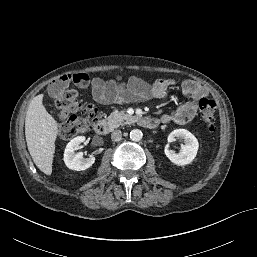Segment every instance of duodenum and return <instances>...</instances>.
<instances>
[{"label": "duodenum", "mask_w": 257, "mask_h": 257, "mask_svg": "<svg viewBox=\"0 0 257 257\" xmlns=\"http://www.w3.org/2000/svg\"><path fill=\"white\" fill-rule=\"evenodd\" d=\"M139 123L142 127L154 129L158 126L159 121L155 118L144 117L140 119ZM110 130L111 125L106 120H100L95 126V132L98 135H106L110 132Z\"/></svg>", "instance_id": "duodenum-1"}]
</instances>
